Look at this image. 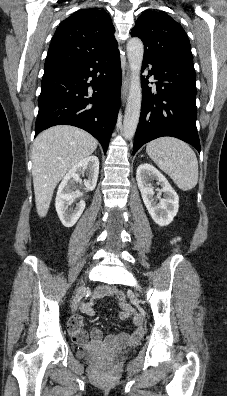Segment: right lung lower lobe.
<instances>
[{
    "instance_id": "98d812e1",
    "label": "right lung lower lobe",
    "mask_w": 227,
    "mask_h": 396,
    "mask_svg": "<svg viewBox=\"0 0 227 396\" xmlns=\"http://www.w3.org/2000/svg\"><path fill=\"white\" fill-rule=\"evenodd\" d=\"M121 78L118 48L45 69L35 136L54 125H72L92 134L106 153L117 120Z\"/></svg>"
}]
</instances>
